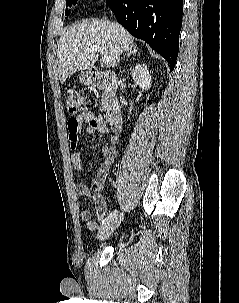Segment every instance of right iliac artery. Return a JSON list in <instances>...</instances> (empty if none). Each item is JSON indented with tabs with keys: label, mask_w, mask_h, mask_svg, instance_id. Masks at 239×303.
Wrapping results in <instances>:
<instances>
[{
	"label": "right iliac artery",
	"mask_w": 239,
	"mask_h": 303,
	"mask_svg": "<svg viewBox=\"0 0 239 303\" xmlns=\"http://www.w3.org/2000/svg\"><path fill=\"white\" fill-rule=\"evenodd\" d=\"M118 211L115 210L114 212H112L111 214H109L103 221H102V225H106L109 222H111L116 216H117Z\"/></svg>",
	"instance_id": "obj_1"
}]
</instances>
